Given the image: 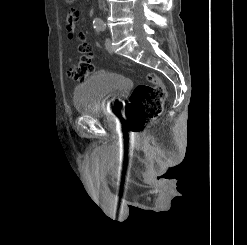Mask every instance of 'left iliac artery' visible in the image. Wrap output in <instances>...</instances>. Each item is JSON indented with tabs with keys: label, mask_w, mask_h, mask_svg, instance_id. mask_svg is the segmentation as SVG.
Masks as SVG:
<instances>
[{
	"label": "left iliac artery",
	"mask_w": 247,
	"mask_h": 245,
	"mask_svg": "<svg viewBox=\"0 0 247 245\" xmlns=\"http://www.w3.org/2000/svg\"><path fill=\"white\" fill-rule=\"evenodd\" d=\"M96 28L100 29L101 31H104L106 28V25L104 23H98L96 25Z\"/></svg>",
	"instance_id": "left-iliac-artery-1"
}]
</instances>
